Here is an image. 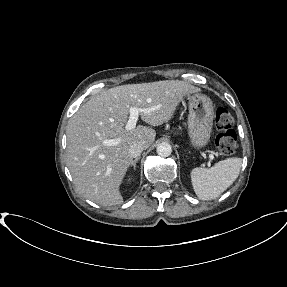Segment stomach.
I'll use <instances>...</instances> for the list:
<instances>
[{
	"label": "stomach",
	"instance_id": "0dacf381",
	"mask_svg": "<svg viewBox=\"0 0 287 287\" xmlns=\"http://www.w3.org/2000/svg\"><path fill=\"white\" fill-rule=\"evenodd\" d=\"M189 115L188 129L191 144L201 149L205 147L211 136L214 106L212 100L206 95L195 93L188 97Z\"/></svg>",
	"mask_w": 287,
	"mask_h": 287
}]
</instances>
